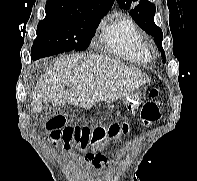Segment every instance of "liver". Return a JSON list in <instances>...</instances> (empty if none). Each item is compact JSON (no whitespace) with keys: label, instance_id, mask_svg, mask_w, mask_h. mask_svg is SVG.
Wrapping results in <instances>:
<instances>
[{"label":"liver","instance_id":"liver-1","mask_svg":"<svg viewBox=\"0 0 197 181\" xmlns=\"http://www.w3.org/2000/svg\"><path fill=\"white\" fill-rule=\"evenodd\" d=\"M149 82L142 71L110 57L69 55L55 60L37 82L32 111L40 112L43 102L53 106L74 105L90 109L96 103H112ZM71 84V89L64 87Z\"/></svg>","mask_w":197,"mask_h":181}]
</instances>
